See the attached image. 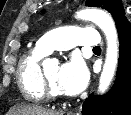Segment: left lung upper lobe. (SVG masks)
I'll return each mask as SVG.
<instances>
[{"instance_id":"obj_1","label":"left lung upper lobe","mask_w":131,"mask_h":115,"mask_svg":"<svg viewBox=\"0 0 131 115\" xmlns=\"http://www.w3.org/2000/svg\"><path fill=\"white\" fill-rule=\"evenodd\" d=\"M122 0H86V6L101 7L111 13L116 27L125 18Z\"/></svg>"}]
</instances>
